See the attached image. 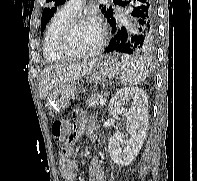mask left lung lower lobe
I'll return each mask as SVG.
<instances>
[{
  "label": "left lung lower lobe",
  "instance_id": "left-lung-lower-lobe-1",
  "mask_svg": "<svg viewBox=\"0 0 197 181\" xmlns=\"http://www.w3.org/2000/svg\"><path fill=\"white\" fill-rule=\"evenodd\" d=\"M157 0H131L133 10L131 23L116 27L115 19L109 24L114 33L104 53H123L150 57L155 50L157 38Z\"/></svg>",
  "mask_w": 197,
  "mask_h": 181
}]
</instances>
